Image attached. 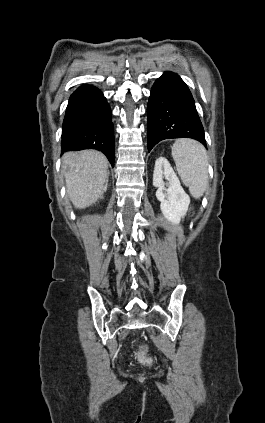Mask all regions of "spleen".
<instances>
[{"label":"spleen","mask_w":265,"mask_h":423,"mask_svg":"<svg viewBox=\"0 0 265 423\" xmlns=\"http://www.w3.org/2000/svg\"><path fill=\"white\" fill-rule=\"evenodd\" d=\"M172 157L183 183L190 194L199 199L208 183L206 150L195 140L179 139L172 146Z\"/></svg>","instance_id":"1"}]
</instances>
